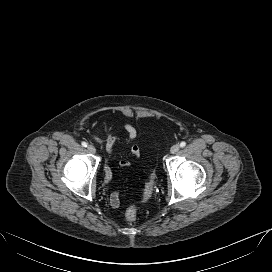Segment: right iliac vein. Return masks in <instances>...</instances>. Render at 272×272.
<instances>
[{"label":"right iliac vein","mask_w":272,"mask_h":272,"mask_svg":"<svg viewBox=\"0 0 272 272\" xmlns=\"http://www.w3.org/2000/svg\"><path fill=\"white\" fill-rule=\"evenodd\" d=\"M87 150H88L90 153H95V152H96V149H95V147H94L93 145H89V146L87 147Z\"/></svg>","instance_id":"63e3f726"}]
</instances>
